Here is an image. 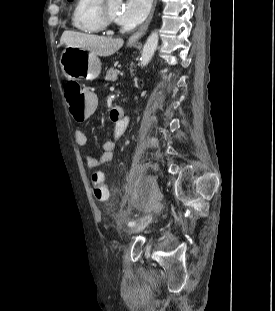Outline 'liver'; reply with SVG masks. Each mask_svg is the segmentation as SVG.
Masks as SVG:
<instances>
[{
  "label": "liver",
  "instance_id": "liver-1",
  "mask_svg": "<svg viewBox=\"0 0 275 311\" xmlns=\"http://www.w3.org/2000/svg\"><path fill=\"white\" fill-rule=\"evenodd\" d=\"M61 45L83 48L92 51L97 56L108 57L117 52L124 44L121 38L103 37L93 34L65 31L61 39Z\"/></svg>",
  "mask_w": 275,
  "mask_h": 311
}]
</instances>
